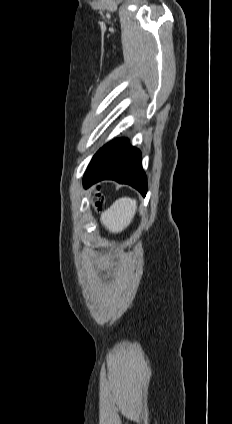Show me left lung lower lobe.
<instances>
[{"mask_svg": "<svg viewBox=\"0 0 232 424\" xmlns=\"http://www.w3.org/2000/svg\"><path fill=\"white\" fill-rule=\"evenodd\" d=\"M112 179L129 184L143 196L147 192L146 175L142 169L141 153L120 138L103 146L92 158L83 178L85 188L104 180Z\"/></svg>", "mask_w": 232, "mask_h": 424, "instance_id": "obj_1", "label": "left lung lower lobe"}]
</instances>
